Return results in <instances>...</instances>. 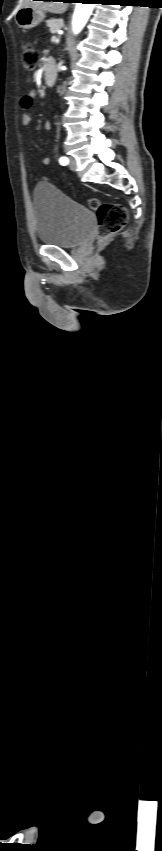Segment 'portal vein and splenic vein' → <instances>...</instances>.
<instances>
[{"label":"portal vein and splenic vein","mask_w":162,"mask_h":851,"mask_svg":"<svg viewBox=\"0 0 162 851\" xmlns=\"http://www.w3.org/2000/svg\"><path fill=\"white\" fill-rule=\"evenodd\" d=\"M51 41H52V42H56V41H57V37L53 36V37L51 38Z\"/></svg>","instance_id":"obj_1"}]
</instances>
